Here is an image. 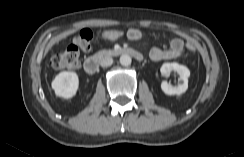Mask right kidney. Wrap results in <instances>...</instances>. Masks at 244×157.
<instances>
[{
	"label": "right kidney",
	"mask_w": 244,
	"mask_h": 157,
	"mask_svg": "<svg viewBox=\"0 0 244 157\" xmlns=\"http://www.w3.org/2000/svg\"><path fill=\"white\" fill-rule=\"evenodd\" d=\"M51 86L56 96L70 99L77 93L79 87L78 75L75 72H60L53 79Z\"/></svg>",
	"instance_id": "right-kidney-1"
}]
</instances>
